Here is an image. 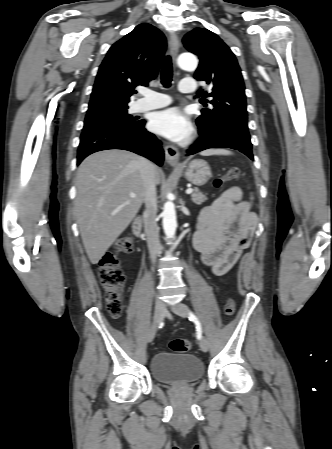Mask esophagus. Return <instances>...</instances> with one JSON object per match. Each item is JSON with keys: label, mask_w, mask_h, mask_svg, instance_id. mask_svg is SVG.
I'll list each match as a JSON object with an SVG mask.
<instances>
[{"label": "esophagus", "mask_w": 332, "mask_h": 449, "mask_svg": "<svg viewBox=\"0 0 332 449\" xmlns=\"http://www.w3.org/2000/svg\"><path fill=\"white\" fill-rule=\"evenodd\" d=\"M178 50H179L178 36L175 33H172L169 37V51L174 63L176 62L177 59ZM165 158L170 165L179 166V151L176 147L172 145H166Z\"/></svg>", "instance_id": "34e87169"}]
</instances>
